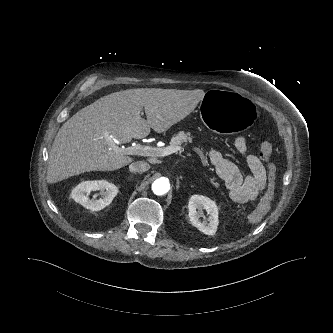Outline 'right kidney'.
Returning <instances> with one entry per match:
<instances>
[{"label": "right kidney", "instance_id": "obj_1", "mask_svg": "<svg viewBox=\"0 0 333 333\" xmlns=\"http://www.w3.org/2000/svg\"><path fill=\"white\" fill-rule=\"evenodd\" d=\"M100 191L102 198L99 200H90L86 193L91 191ZM118 188L106 180L84 181L77 185L71 193L72 199L80 203L87 209L99 211L108 206L117 195Z\"/></svg>", "mask_w": 333, "mask_h": 333}]
</instances>
